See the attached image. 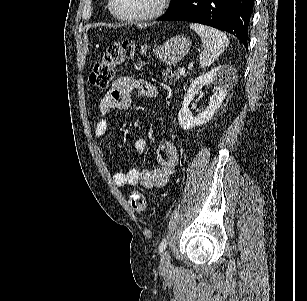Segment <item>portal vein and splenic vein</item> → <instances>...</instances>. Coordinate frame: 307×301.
Segmentation results:
<instances>
[{"label":"portal vein and splenic vein","instance_id":"obj_1","mask_svg":"<svg viewBox=\"0 0 307 301\" xmlns=\"http://www.w3.org/2000/svg\"><path fill=\"white\" fill-rule=\"evenodd\" d=\"M179 72H180V74H185L186 68H180Z\"/></svg>","mask_w":307,"mask_h":301}]
</instances>
